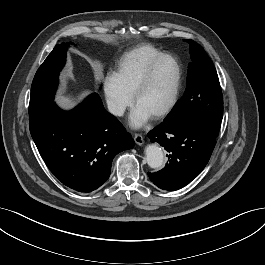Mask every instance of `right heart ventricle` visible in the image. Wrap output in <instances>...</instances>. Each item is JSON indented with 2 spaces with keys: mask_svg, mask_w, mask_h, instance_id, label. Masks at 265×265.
Segmentation results:
<instances>
[{
  "mask_svg": "<svg viewBox=\"0 0 265 265\" xmlns=\"http://www.w3.org/2000/svg\"><path fill=\"white\" fill-rule=\"evenodd\" d=\"M161 54V50L150 44L138 45L123 54L112 76L121 89L131 96L148 64Z\"/></svg>",
  "mask_w": 265,
  "mask_h": 265,
  "instance_id": "1",
  "label": "right heart ventricle"
}]
</instances>
